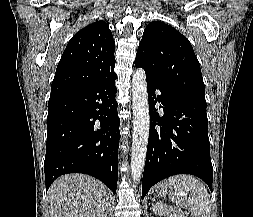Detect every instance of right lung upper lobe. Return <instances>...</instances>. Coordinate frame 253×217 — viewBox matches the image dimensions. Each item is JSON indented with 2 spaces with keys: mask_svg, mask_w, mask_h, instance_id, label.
Instances as JSON below:
<instances>
[{
  "mask_svg": "<svg viewBox=\"0 0 253 217\" xmlns=\"http://www.w3.org/2000/svg\"><path fill=\"white\" fill-rule=\"evenodd\" d=\"M115 45L109 26L94 22L69 41L57 66L50 98L83 89L110 74Z\"/></svg>",
  "mask_w": 253,
  "mask_h": 217,
  "instance_id": "right-lung-upper-lobe-1",
  "label": "right lung upper lobe"
}]
</instances>
